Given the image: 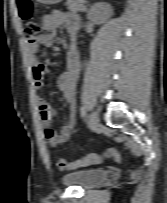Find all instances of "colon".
<instances>
[{
  "instance_id": "colon-1",
  "label": "colon",
  "mask_w": 167,
  "mask_h": 203,
  "mask_svg": "<svg viewBox=\"0 0 167 203\" xmlns=\"http://www.w3.org/2000/svg\"><path fill=\"white\" fill-rule=\"evenodd\" d=\"M17 9L19 16L25 21V35L28 38H34L39 35L41 27L39 23L34 19V8L31 0H17ZM105 159H112L116 162L121 160V154L116 149H109L102 153L88 154L82 158L74 161H68L63 158H59L56 162V166L59 170H68L81 166L98 164Z\"/></svg>"
}]
</instances>
